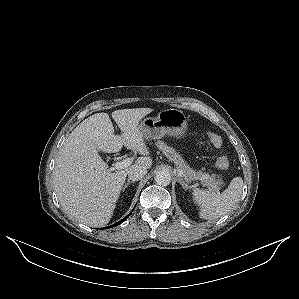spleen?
<instances>
[{
    "label": "spleen",
    "instance_id": "3e777b00",
    "mask_svg": "<svg viewBox=\"0 0 299 299\" xmlns=\"http://www.w3.org/2000/svg\"><path fill=\"white\" fill-rule=\"evenodd\" d=\"M243 188V179L235 177L222 193L194 188L193 200L199 207V216L202 219H217L229 212L240 200Z\"/></svg>",
    "mask_w": 299,
    "mask_h": 299
}]
</instances>
